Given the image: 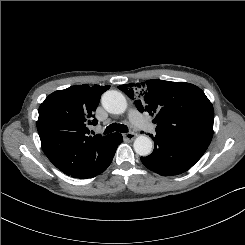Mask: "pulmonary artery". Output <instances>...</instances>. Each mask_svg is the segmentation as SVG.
<instances>
[{"label":"pulmonary artery","mask_w":245,"mask_h":245,"mask_svg":"<svg viewBox=\"0 0 245 245\" xmlns=\"http://www.w3.org/2000/svg\"><path fill=\"white\" fill-rule=\"evenodd\" d=\"M129 119L134 126L137 128L144 130L146 132H154L155 125L147 121L144 117L140 115L136 110H131L129 112Z\"/></svg>","instance_id":"1"}]
</instances>
